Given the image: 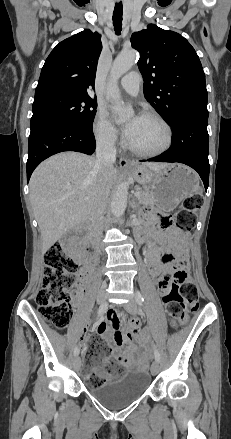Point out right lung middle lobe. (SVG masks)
<instances>
[{
  "label": "right lung middle lobe",
  "mask_w": 231,
  "mask_h": 439,
  "mask_svg": "<svg viewBox=\"0 0 231 439\" xmlns=\"http://www.w3.org/2000/svg\"><path fill=\"white\" fill-rule=\"evenodd\" d=\"M96 107V100L84 95L57 93L37 98L33 103L30 133L65 122L92 128Z\"/></svg>",
  "instance_id": "1"
}]
</instances>
